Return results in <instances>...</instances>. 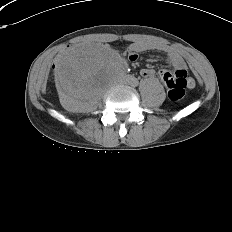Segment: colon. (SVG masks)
<instances>
[{
    "label": "colon",
    "instance_id": "obj_1",
    "mask_svg": "<svg viewBox=\"0 0 232 232\" xmlns=\"http://www.w3.org/2000/svg\"><path fill=\"white\" fill-rule=\"evenodd\" d=\"M191 84L192 80L185 75H173L165 81L169 98L174 101L182 99L185 88L190 87Z\"/></svg>",
    "mask_w": 232,
    "mask_h": 232
}]
</instances>
